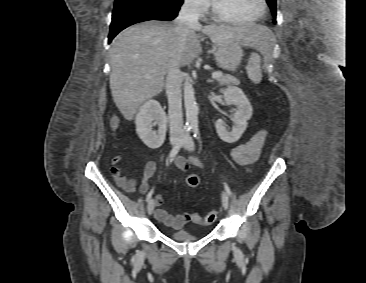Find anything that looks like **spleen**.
I'll list each match as a JSON object with an SVG mask.
<instances>
[{"label":"spleen","mask_w":366,"mask_h":283,"mask_svg":"<svg viewBox=\"0 0 366 283\" xmlns=\"http://www.w3.org/2000/svg\"><path fill=\"white\" fill-rule=\"evenodd\" d=\"M247 75L253 83H259L262 79L261 58L258 53H252L246 67Z\"/></svg>","instance_id":"3e777b00"}]
</instances>
